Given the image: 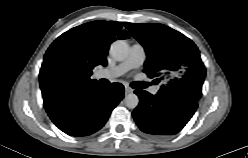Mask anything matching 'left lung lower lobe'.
I'll use <instances>...</instances> for the list:
<instances>
[{
	"label": "left lung lower lobe",
	"instance_id": "0a47b994",
	"mask_svg": "<svg viewBox=\"0 0 248 158\" xmlns=\"http://www.w3.org/2000/svg\"><path fill=\"white\" fill-rule=\"evenodd\" d=\"M140 99L132 115L138 127L152 135H173L188 123L197 102L181 98H165L146 91H135Z\"/></svg>",
	"mask_w": 248,
	"mask_h": 158
}]
</instances>
